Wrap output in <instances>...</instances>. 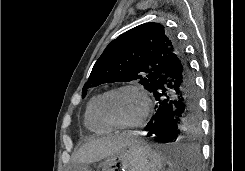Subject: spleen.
Returning <instances> with one entry per match:
<instances>
[{
    "mask_svg": "<svg viewBox=\"0 0 245 171\" xmlns=\"http://www.w3.org/2000/svg\"><path fill=\"white\" fill-rule=\"evenodd\" d=\"M167 163L169 165V169L167 171H177L175 170V164L172 161L168 160Z\"/></svg>",
    "mask_w": 245,
    "mask_h": 171,
    "instance_id": "obj_1",
    "label": "spleen"
}]
</instances>
